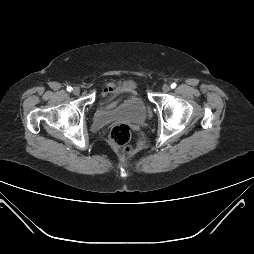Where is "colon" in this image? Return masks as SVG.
<instances>
[{
    "label": "colon",
    "mask_w": 254,
    "mask_h": 254,
    "mask_svg": "<svg viewBox=\"0 0 254 254\" xmlns=\"http://www.w3.org/2000/svg\"><path fill=\"white\" fill-rule=\"evenodd\" d=\"M131 134V128L127 124H117L110 131L109 142L119 153L129 156L132 153Z\"/></svg>",
    "instance_id": "colon-1"
}]
</instances>
